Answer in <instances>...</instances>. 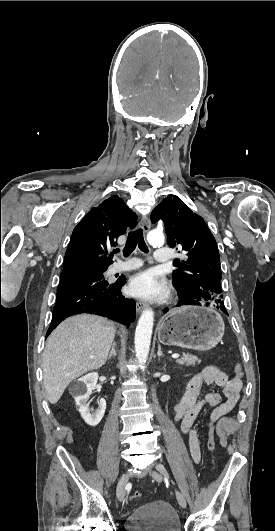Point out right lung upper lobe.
Returning a JSON list of instances; mask_svg holds the SVG:
<instances>
[{
  "instance_id": "obj_1",
  "label": "right lung upper lobe",
  "mask_w": 275,
  "mask_h": 531,
  "mask_svg": "<svg viewBox=\"0 0 275 531\" xmlns=\"http://www.w3.org/2000/svg\"><path fill=\"white\" fill-rule=\"evenodd\" d=\"M136 225L137 215L122 199L112 196L104 200L73 230L63 270L82 265L109 266L112 255L107 257L108 247L116 246L117 238Z\"/></svg>"
}]
</instances>
